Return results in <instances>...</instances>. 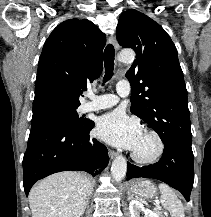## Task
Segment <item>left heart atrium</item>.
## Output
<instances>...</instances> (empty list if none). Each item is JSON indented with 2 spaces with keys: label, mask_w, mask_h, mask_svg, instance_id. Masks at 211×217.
<instances>
[{
  "label": "left heart atrium",
  "mask_w": 211,
  "mask_h": 217,
  "mask_svg": "<svg viewBox=\"0 0 211 217\" xmlns=\"http://www.w3.org/2000/svg\"><path fill=\"white\" fill-rule=\"evenodd\" d=\"M142 134L139 124L120 111L105 114L97 121L96 135L117 147L134 150Z\"/></svg>",
  "instance_id": "left-heart-atrium-1"
}]
</instances>
